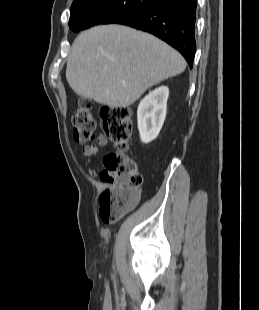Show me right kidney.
Returning a JSON list of instances; mask_svg holds the SVG:
<instances>
[{
	"label": "right kidney",
	"instance_id": "ca27d5eb",
	"mask_svg": "<svg viewBox=\"0 0 259 310\" xmlns=\"http://www.w3.org/2000/svg\"><path fill=\"white\" fill-rule=\"evenodd\" d=\"M169 89L161 86L144 97L137 110L138 130L143 143L157 138L166 118Z\"/></svg>",
	"mask_w": 259,
	"mask_h": 310
}]
</instances>
